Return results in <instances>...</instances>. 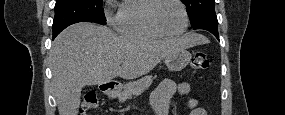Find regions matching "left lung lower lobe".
<instances>
[{"instance_id":"0a47b994","label":"left lung lower lobe","mask_w":285,"mask_h":115,"mask_svg":"<svg viewBox=\"0 0 285 115\" xmlns=\"http://www.w3.org/2000/svg\"><path fill=\"white\" fill-rule=\"evenodd\" d=\"M194 29H203L211 32L218 40H219V35H218V20L216 16L208 17L206 19H203L200 21Z\"/></svg>"}]
</instances>
